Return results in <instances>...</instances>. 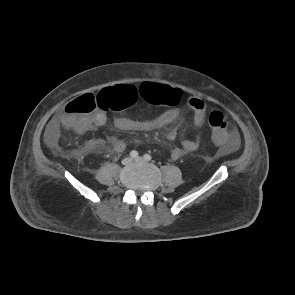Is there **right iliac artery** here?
<instances>
[{"label": "right iliac artery", "mask_w": 295, "mask_h": 295, "mask_svg": "<svg viewBox=\"0 0 295 295\" xmlns=\"http://www.w3.org/2000/svg\"><path fill=\"white\" fill-rule=\"evenodd\" d=\"M130 156H131L132 158H137V157H138V152L135 151V150H133V151L130 152Z\"/></svg>", "instance_id": "1"}]
</instances>
